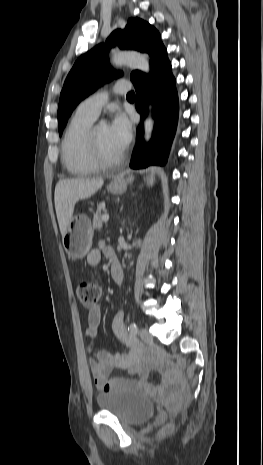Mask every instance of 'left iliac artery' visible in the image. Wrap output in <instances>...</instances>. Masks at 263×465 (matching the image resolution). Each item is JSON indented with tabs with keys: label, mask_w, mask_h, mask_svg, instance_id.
Here are the masks:
<instances>
[{
	"label": "left iliac artery",
	"mask_w": 263,
	"mask_h": 465,
	"mask_svg": "<svg viewBox=\"0 0 263 465\" xmlns=\"http://www.w3.org/2000/svg\"><path fill=\"white\" fill-rule=\"evenodd\" d=\"M129 331L134 336L138 334V326L136 325V323L133 322L130 324Z\"/></svg>",
	"instance_id": "1"
}]
</instances>
